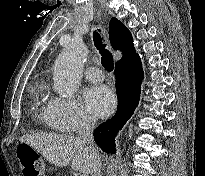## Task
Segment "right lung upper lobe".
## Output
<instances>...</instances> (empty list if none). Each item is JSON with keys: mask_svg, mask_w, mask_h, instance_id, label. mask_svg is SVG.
I'll list each match as a JSON object with an SVG mask.
<instances>
[{"mask_svg": "<svg viewBox=\"0 0 205 176\" xmlns=\"http://www.w3.org/2000/svg\"><path fill=\"white\" fill-rule=\"evenodd\" d=\"M109 34L113 48L123 53V57L116 64L126 62L137 55L130 31L118 19L110 20Z\"/></svg>", "mask_w": 205, "mask_h": 176, "instance_id": "1", "label": "right lung upper lobe"}]
</instances>
